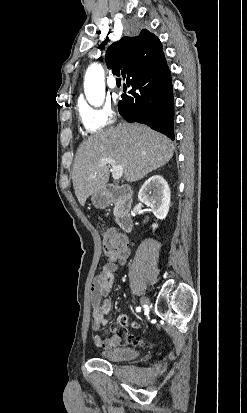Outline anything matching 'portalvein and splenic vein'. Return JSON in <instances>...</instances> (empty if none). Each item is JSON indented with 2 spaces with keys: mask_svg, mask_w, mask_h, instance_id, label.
<instances>
[{
  "mask_svg": "<svg viewBox=\"0 0 247 413\" xmlns=\"http://www.w3.org/2000/svg\"><path fill=\"white\" fill-rule=\"evenodd\" d=\"M100 164H111L113 178H115V180L121 178L123 174V164H116V160H113V158H100Z\"/></svg>",
  "mask_w": 247,
  "mask_h": 413,
  "instance_id": "1",
  "label": "portal vein and splenic vein"
}]
</instances>
